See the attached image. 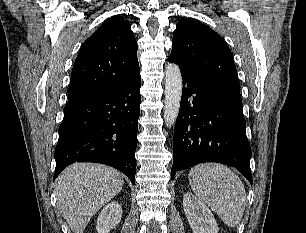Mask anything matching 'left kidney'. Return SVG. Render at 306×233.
I'll return each instance as SVG.
<instances>
[{
  "label": "left kidney",
  "mask_w": 306,
  "mask_h": 233,
  "mask_svg": "<svg viewBox=\"0 0 306 233\" xmlns=\"http://www.w3.org/2000/svg\"><path fill=\"white\" fill-rule=\"evenodd\" d=\"M183 209L193 233H218V225L210 209L191 192L183 196Z\"/></svg>",
  "instance_id": "5707ae66"
}]
</instances>
